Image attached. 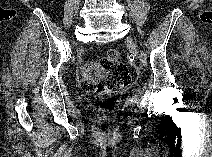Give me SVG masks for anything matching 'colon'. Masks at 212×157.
Masks as SVG:
<instances>
[{"instance_id":"5ec220e1","label":"colon","mask_w":212,"mask_h":157,"mask_svg":"<svg viewBox=\"0 0 212 157\" xmlns=\"http://www.w3.org/2000/svg\"><path fill=\"white\" fill-rule=\"evenodd\" d=\"M131 82L132 77L129 68L125 64L121 52L117 49H110L98 61H86L78 79L82 90L93 93L126 88ZM107 128L106 123L100 124L102 132H105Z\"/></svg>"}]
</instances>
